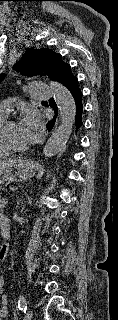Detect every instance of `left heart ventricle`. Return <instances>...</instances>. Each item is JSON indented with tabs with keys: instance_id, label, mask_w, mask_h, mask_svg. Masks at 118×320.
<instances>
[{
	"instance_id": "obj_1",
	"label": "left heart ventricle",
	"mask_w": 118,
	"mask_h": 320,
	"mask_svg": "<svg viewBox=\"0 0 118 320\" xmlns=\"http://www.w3.org/2000/svg\"><path fill=\"white\" fill-rule=\"evenodd\" d=\"M6 136L9 139L11 143H13L16 146H27V143L25 142L21 128L19 124H11L6 129Z\"/></svg>"
}]
</instances>
